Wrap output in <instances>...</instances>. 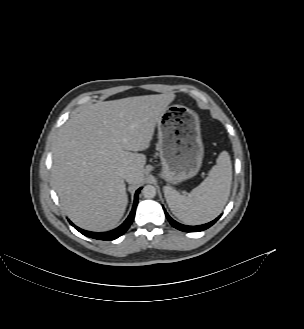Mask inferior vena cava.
Here are the masks:
<instances>
[{"mask_svg": "<svg viewBox=\"0 0 304 329\" xmlns=\"http://www.w3.org/2000/svg\"><path fill=\"white\" fill-rule=\"evenodd\" d=\"M121 176H122L123 179H125L126 181H128L129 178H130V176H131V174H130V172H128V171L125 170V171H122Z\"/></svg>", "mask_w": 304, "mask_h": 329, "instance_id": "1", "label": "inferior vena cava"}]
</instances>
